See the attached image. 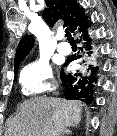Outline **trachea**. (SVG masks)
I'll list each match as a JSON object with an SVG mask.
<instances>
[{"label":"trachea","instance_id":"1","mask_svg":"<svg viewBox=\"0 0 117 136\" xmlns=\"http://www.w3.org/2000/svg\"><path fill=\"white\" fill-rule=\"evenodd\" d=\"M66 37L69 41H74L73 37L70 34V31L68 28L65 29Z\"/></svg>","mask_w":117,"mask_h":136}]
</instances>
